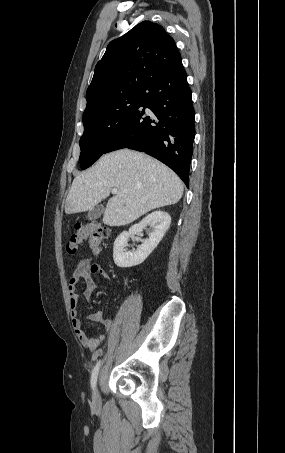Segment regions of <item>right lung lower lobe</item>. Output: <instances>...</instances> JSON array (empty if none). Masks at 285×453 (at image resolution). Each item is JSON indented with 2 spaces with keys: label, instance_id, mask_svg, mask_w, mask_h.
Masks as SVG:
<instances>
[{
  "label": "right lung lower lobe",
  "instance_id": "obj_1",
  "mask_svg": "<svg viewBox=\"0 0 285 453\" xmlns=\"http://www.w3.org/2000/svg\"><path fill=\"white\" fill-rule=\"evenodd\" d=\"M141 93L138 107L105 153L122 148L145 152L169 166L188 187L195 113L182 62L151 80Z\"/></svg>",
  "mask_w": 285,
  "mask_h": 453
}]
</instances>
